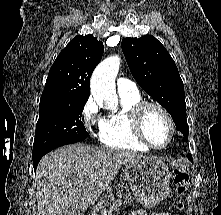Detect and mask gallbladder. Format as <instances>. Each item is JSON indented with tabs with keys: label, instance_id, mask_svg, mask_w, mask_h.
Here are the masks:
<instances>
[{
	"label": "gallbladder",
	"instance_id": "gallbladder-1",
	"mask_svg": "<svg viewBox=\"0 0 221 215\" xmlns=\"http://www.w3.org/2000/svg\"><path fill=\"white\" fill-rule=\"evenodd\" d=\"M66 215H80L79 211L76 208H70Z\"/></svg>",
	"mask_w": 221,
	"mask_h": 215
}]
</instances>
